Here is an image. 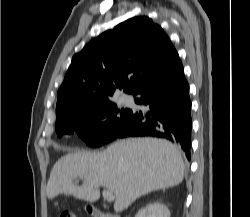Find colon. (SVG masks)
Masks as SVG:
<instances>
[{
    "label": "colon",
    "mask_w": 250,
    "mask_h": 217,
    "mask_svg": "<svg viewBox=\"0 0 250 217\" xmlns=\"http://www.w3.org/2000/svg\"><path fill=\"white\" fill-rule=\"evenodd\" d=\"M59 217H77L74 212L71 211H63Z\"/></svg>",
    "instance_id": "5ec220e1"
}]
</instances>
